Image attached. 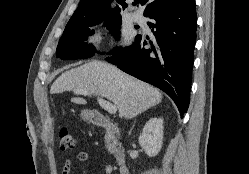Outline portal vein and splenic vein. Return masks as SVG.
Here are the masks:
<instances>
[{
	"label": "portal vein and splenic vein",
	"instance_id": "obj_1",
	"mask_svg": "<svg viewBox=\"0 0 249 174\" xmlns=\"http://www.w3.org/2000/svg\"><path fill=\"white\" fill-rule=\"evenodd\" d=\"M80 94H83V95H91L92 93H90L89 91H81ZM97 101L99 103V105L105 109L108 113L110 114H115L116 111H117V108L115 105H113L112 103L102 99V98H97Z\"/></svg>",
	"mask_w": 249,
	"mask_h": 174
}]
</instances>
